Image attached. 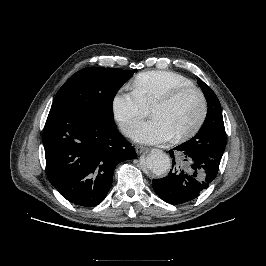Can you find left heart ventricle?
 I'll return each instance as SVG.
<instances>
[{"label": "left heart ventricle", "mask_w": 266, "mask_h": 266, "mask_svg": "<svg viewBox=\"0 0 266 266\" xmlns=\"http://www.w3.org/2000/svg\"><path fill=\"white\" fill-rule=\"evenodd\" d=\"M201 102L195 92L182 95L173 103L152 110L154 118L162 119L173 131L174 136L190 129L197 121Z\"/></svg>", "instance_id": "obj_1"}]
</instances>
